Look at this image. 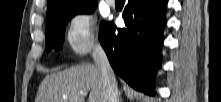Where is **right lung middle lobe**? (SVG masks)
I'll use <instances>...</instances> for the list:
<instances>
[{"label":"right lung middle lobe","mask_w":221,"mask_h":102,"mask_svg":"<svg viewBox=\"0 0 221 102\" xmlns=\"http://www.w3.org/2000/svg\"><path fill=\"white\" fill-rule=\"evenodd\" d=\"M96 2H91L80 7H72L57 12L47 20L46 25V48L59 50L64 42L65 28L67 23L77 14H89L95 9ZM104 22H101V26Z\"/></svg>","instance_id":"1"}]
</instances>
